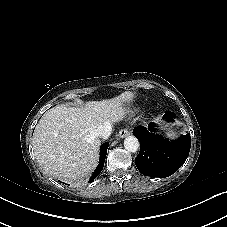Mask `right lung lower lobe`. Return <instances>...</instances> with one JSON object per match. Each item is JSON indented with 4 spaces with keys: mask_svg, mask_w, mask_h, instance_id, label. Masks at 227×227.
<instances>
[{
    "mask_svg": "<svg viewBox=\"0 0 227 227\" xmlns=\"http://www.w3.org/2000/svg\"><path fill=\"white\" fill-rule=\"evenodd\" d=\"M108 145H109L108 142H105L101 145L99 164H98L95 172L92 174V177L89 180L90 183L100 174V172L103 169L106 154H107Z\"/></svg>",
    "mask_w": 227,
    "mask_h": 227,
    "instance_id": "1",
    "label": "right lung lower lobe"
}]
</instances>
